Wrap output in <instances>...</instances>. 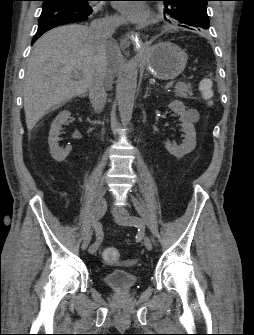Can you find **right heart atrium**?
I'll use <instances>...</instances> for the list:
<instances>
[{"instance_id":"right-heart-atrium-1","label":"right heart atrium","mask_w":254,"mask_h":335,"mask_svg":"<svg viewBox=\"0 0 254 335\" xmlns=\"http://www.w3.org/2000/svg\"><path fill=\"white\" fill-rule=\"evenodd\" d=\"M108 20H110V21H116V20H117V17L112 16V17H109Z\"/></svg>"}]
</instances>
